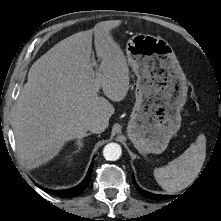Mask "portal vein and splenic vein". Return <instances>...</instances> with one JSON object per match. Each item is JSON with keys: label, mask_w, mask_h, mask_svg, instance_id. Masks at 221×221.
I'll return each instance as SVG.
<instances>
[{"label": "portal vein and splenic vein", "mask_w": 221, "mask_h": 221, "mask_svg": "<svg viewBox=\"0 0 221 221\" xmlns=\"http://www.w3.org/2000/svg\"><path fill=\"white\" fill-rule=\"evenodd\" d=\"M95 87H96V90H98L99 87H100V85H99V83L97 81L95 82Z\"/></svg>", "instance_id": "obj_1"}]
</instances>
